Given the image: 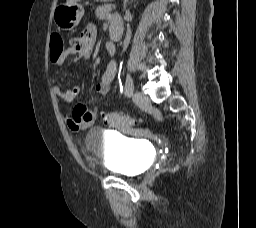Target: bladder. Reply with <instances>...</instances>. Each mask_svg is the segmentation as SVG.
<instances>
[{
  "label": "bladder",
  "mask_w": 256,
  "mask_h": 228,
  "mask_svg": "<svg viewBox=\"0 0 256 228\" xmlns=\"http://www.w3.org/2000/svg\"><path fill=\"white\" fill-rule=\"evenodd\" d=\"M85 146L92 165L117 175L138 176L148 166L149 151L145 145L136 140L108 137L100 128L88 131Z\"/></svg>",
  "instance_id": "31cf9c89"
}]
</instances>
